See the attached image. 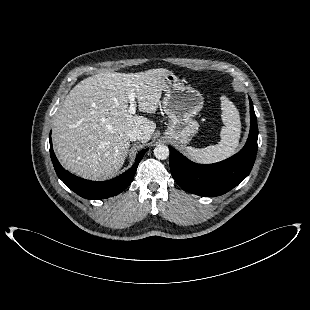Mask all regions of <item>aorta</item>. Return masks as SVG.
I'll return each mask as SVG.
<instances>
[{
	"mask_svg": "<svg viewBox=\"0 0 310 310\" xmlns=\"http://www.w3.org/2000/svg\"><path fill=\"white\" fill-rule=\"evenodd\" d=\"M170 151L168 146L159 144L154 149V156L159 160H165L169 157Z\"/></svg>",
	"mask_w": 310,
	"mask_h": 310,
	"instance_id": "1",
	"label": "aorta"
}]
</instances>
